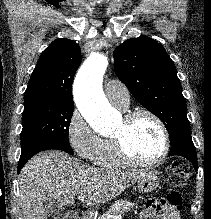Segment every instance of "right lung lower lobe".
Wrapping results in <instances>:
<instances>
[{
    "label": "right lung lower lobe",
    "mask_w": 211,
    "mask_h": 219,
    "mask_svg": "<svg viewBox=\"0 0 211 219\" xmlns=\"http://www.w3.org/2000/svg\"><path fill=\"white\" fill-rule=\"evenodd\" d=\"M49 149H58V150H61L60 148L58 147H54V146H41V147H38V148H35L29 152H26L24 154H21L20 156V160H19V163H18V174L20 172V170L22 169V167L24 166V164L33 156L35 155L36 153L40 152V151H44V150H49Z\"/></svg>",
    "instance_id": "98d812e1"
}]
</instances>
